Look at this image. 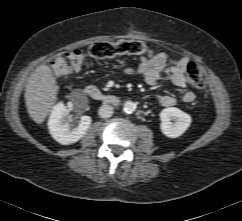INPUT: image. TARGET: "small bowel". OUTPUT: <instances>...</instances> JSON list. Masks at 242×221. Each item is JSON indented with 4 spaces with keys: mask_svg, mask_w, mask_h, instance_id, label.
Returning a JSON list of instances; mask_svg holds the SVG:
<instances>
[{
    "mask_svg": "<svg viewBox=\"0 0 242 221\" xmlns=\"http://www.w3.org/2000/svg\"><path fill=\"white\" fill-rule=\"evenodd\" d=\"M189 60L185 57L179 59H170L165 53L154 54L151 51L140 58L138 67H127L125 74L133 77H139L149 85H155L161 80H167L179 89H185L187 86L185 72ZM158 102L165 107L174 106L177 99L172 95H159ZM195 100V94L190 90H185L182 94V101L192 103Z\"/></svg>",
    "mask_w": 242,
    "mask_h": 221,
    "instance_id": "1",
    "label": "small bowel"
}]
</instances>
